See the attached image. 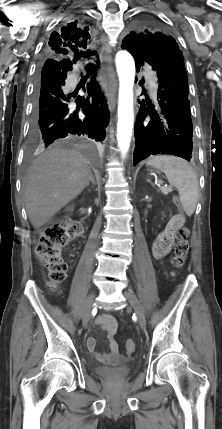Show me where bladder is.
<instances>
[{"label": "bladder", "mask_w": 222, "mask_h": 429, "mask_svg": "<svg viewBox=\"0 0 222 429\" xmlns=\"http://www.w3.org/2000/svg\"><path fill=\"white\" fill-rule=\"evenodd\" d=\"M132 371V366L104 367L96 366L94 372L101 378L110 380H121L127 378Z\"/></svg>", "instance_id": "bladder-1"}]
</instances>
